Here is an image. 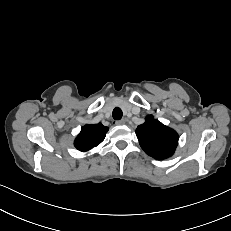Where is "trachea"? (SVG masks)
I'll list each match as a JSON object with an SVG mask.
<instances>
[{
  "label": "trachea",
  "instance_id": "obj_1",
  "mask_svg": "<svg viewBox=\"0 0 231 231\" xmlns=\"http://www.w3.org/2000/svg\"><path fill=\"white\" fill-rule=\"evenodd\" d=\"M112 116L115 120H120L123 116L122 110L118 107L114 108Z\"/></svg>",
  "mask_w": 231,
  "mask_h": 231
}]
</instances>
